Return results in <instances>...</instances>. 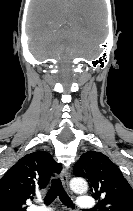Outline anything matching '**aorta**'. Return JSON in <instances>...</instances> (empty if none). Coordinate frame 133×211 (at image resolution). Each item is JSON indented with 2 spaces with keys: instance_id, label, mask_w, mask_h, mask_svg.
<instances>
[{
  "instance_id": "1",
  "label": "aorta",
  "mask_w": 133,
  "mask_h": 211,
  "mask_svg": "<svg viewBox=\"0 0 133 211\" xmlns=\"http://www.w3.org/2000/svg\"><path fill=\"white\" fill-rule=\"evenodd\" d=\"M71 189L78 194H84L88 190V184L85 179L77 177L70 181Z\"/></svg>"
}]
</instances>
